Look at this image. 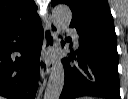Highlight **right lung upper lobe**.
<instances>
[{"label":"right lung upper lobe","instance_id":"right-lung-upper-lobe-1","mask_svg":"<svg viewBox=\"0 0 128 99\" xmlns=\"http://www.w3.org/2000/svg\"><path fill=\"white\" fill-rule=\"evenodd\" d=\"M36 17L33 0H0V36Z\"/></svg>","mask_w":128,"mask_h":99}]
</instances>
